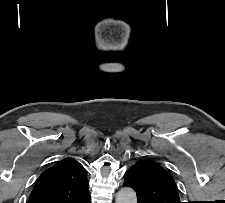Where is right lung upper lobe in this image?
Listing matches in <instances>:
<instances>
[{
  "label": "right lung upper lobe",
  "instance_id": "1",
  "mask_svg": "<svg viewBox=\"0 0 225 203\" xmlns=\"http://www.w3.org/2000/svg\"><path fill=\"white\" fill-rule=\"evenodd\" d=\"M86 176V169L78 161H58L39 176L29 203H82L90 195Z\"/></svg>",
  "mask_w": 225,
  "mask_h": 203
}]
</instances>
